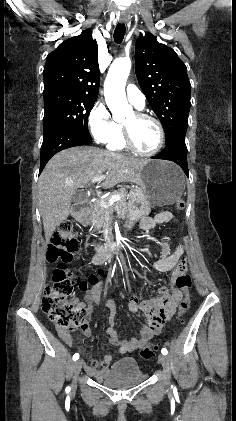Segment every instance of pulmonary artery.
<instances>
[{
	"label": "pulmonary artery",
	"instance_id": "pulmonary-artery-1",
	"mask_svg": "<svg viewBox=\"0 0 236 421\" xmlns=\"http://www.w3.org/2000/svg\"><path fill=\"white\" fill-rule=\"evenodd\" d=\"M129 102L137 109L141 110L146 105V99L143 93L133 85H128L126 89Z\"/></svg>",
	"mask_w": 236,
	"mask_h": 421
}]
</instances>
